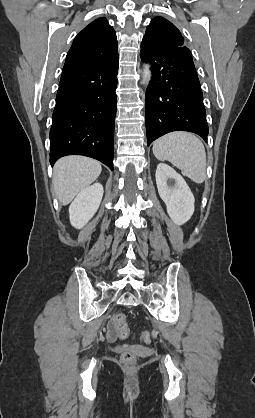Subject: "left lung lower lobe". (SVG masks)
<instances>
[{
    "label": "left lung lower lobe",
    "instance_id": "1",
    "mask_svg": "<svg viewBox=\"0 0 255 418\" xmlns=\"http://www.w3.org/2000/svg\"><path fill=\"white\" fill-rule=\"evenodd\" d=\"M140 56L152 71L146 91L147 145L172 131L193 132L207 141L203 93L190 50L158 52L141 45Z\"/></svg>",
    "mask_w": 255,
    "mask_h": 418
}]
</instances>
